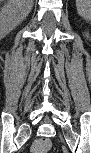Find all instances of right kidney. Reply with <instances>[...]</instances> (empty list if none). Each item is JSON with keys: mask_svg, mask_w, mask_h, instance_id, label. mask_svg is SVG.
<instances>
[{"mask_svg": "<svg viewBox=\"0 0 91 153\" xmlns=\"http://www.w3.org/2000/svg\"><path fill=\"white\" fill-rule=\"evenodd\" d=\"M31 7L23 0H7L0 11V35L5 37L29 14Z\"/></svg>", "mask_w": 91, "mask_h": 153, "instance_id": "ca27d5eb", "label": "right kidney"}]
</instances>
